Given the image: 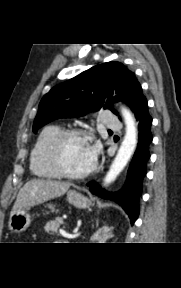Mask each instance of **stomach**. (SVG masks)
Returning a JSON list of instances; mask_svg holds the SVG:
<instances>
[{"instance_id": "1", "label": "stomach", "mask_w": 181, "mask_h": 288, "mask_svg": "<svg viewBox=\"0 0 181 288\" xmlns=\"http://www.w3.org/2000/svg\"><path fill=\"white\" fill-rule=\"evenodd\" d=\"M67 201L79 209L88 208L91 205V202L87 197L81 193L71 190L67 193ZM31 222V217L29 213L22 209L10 216L9 219V228L11 231L19 233L26 230Z\"/></svg>"}]
</instances>
